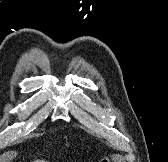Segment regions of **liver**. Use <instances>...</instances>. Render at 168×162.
<instances>
[{
    "mask_svg": "<svg viewBox=\"0 0 168 162\" xmlns=\"http://www.w3.org/2000/svg\"><path fill=\"white\" fill-rule=\"evenodd\" d=\"M34 162H47L45 160H35Z\"/></svg>",
    "mask_w": 168,
    "mask_h": 162,
    "instance_id": "6515ba94",
    "label": "liver"
}]
</instances>
